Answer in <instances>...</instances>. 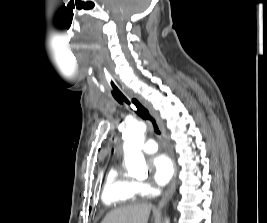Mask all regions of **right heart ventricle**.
I'll return each mask as SVG.
<instances>
[{"mask_svg":"<svg viewBox=\"0 0 267 223\" xmlns=\"http://www.w3.org/2000/svg\"><path fill=\"white\" fill-rule=\"evenodd\" d=\"M139 194L137 183L126 176L121 168L114 166L108 171L101 199L107 206L133 201Z\"/></svg>","mask_w":267,"mask_h":223,"instance_id":"obj_1","label":"right heart ventricle"}]
</instances>
